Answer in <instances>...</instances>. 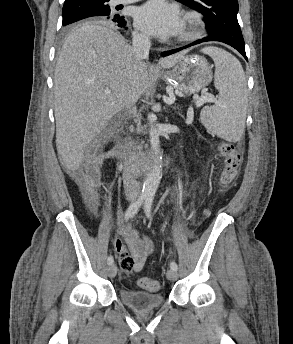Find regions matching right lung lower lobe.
Returning <instances> with one entry per match:
<instances>
[{
	"instance_id": "obj_1",
	"label": "right lung lower lobe",
	"mask_w": 293,
	"mask_h": 344,
	"mask_svg": "<svg viewBox=\"0 0 293 344\" xmlns=\"http://www.w3.org/2000/svg\"><path fill=\"white\" fill-rule=\"evenodd\" d=\"M95 20H104V21L110 20L111 22H114L115 24H117L119 27H125V25H126L124 17L120 16V15L100 16V17H96ZM125 29H127V28L125 27Z\"/></svg>"
}]
</instances>
